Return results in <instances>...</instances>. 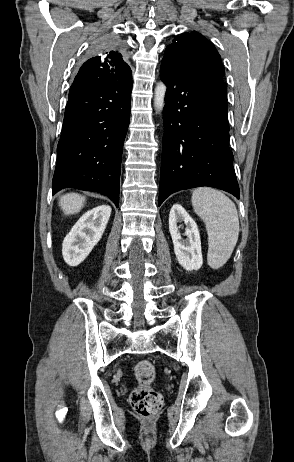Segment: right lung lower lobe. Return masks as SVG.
Returning <instances> with one entry per match:
<instances>
[{
  "instance_id": "obj_1",
  "label": "right lung lower lobe",
  "mask_w": 294,
  "mask_h": 462,
  "mask_svg": "<svg viewBox=\"0 0 294 462\" xmlns=\"http://www.w3.org/2000/svg\"><path fill=\"white\" fill-rule=\"evenodd\" d=\"M131 91L132 74L100 89L69 94L57 147L53 195L63 188L96 191L118 207Z\"/></svg>"
}]
</instances>
